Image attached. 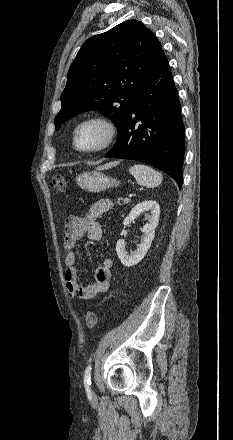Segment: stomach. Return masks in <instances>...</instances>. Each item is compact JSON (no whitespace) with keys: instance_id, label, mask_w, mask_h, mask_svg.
Wrapping results in <instances>:
<instances>
[{"instance_id":"stomach-1","label":"stomach","mask_w":233,"mask_h":440,"mask_svg":"<svg viewBox=\"0 0 233 440\" xmlns=\"http://www.w3.org/2000/svg\"><path fill=\"white\" fill-rule=\"evenodd\" d=\"M76 183L80 188L90 193H98L111 187H117L120 184L118 180L98 170L83 172L77 176Z\"/></svg>"}]
</instances>
